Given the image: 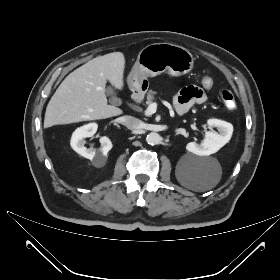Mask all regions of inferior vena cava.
Segmentation results:
<instances>
[{
  "mask_svg": "<svg viewBox=\"0 0 280 280\" xmlns=\"http://www.w3.org/2000/svg\"><path fill=\"white\" fill-rule=\"evenodd\" d=\"M122 124L130 130H139L142 128V121L132 116L122 117Z\"/></svg>",
  "mask_w": 280,
  "mask_h": 280,
  "instance_id": "1",
  "label": "inferior vena cava"
}]
</instances>
